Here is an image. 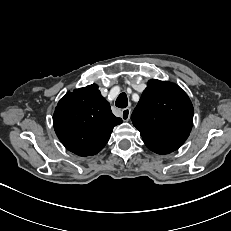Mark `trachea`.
<instances>
[{"label": "trachea", "mask_w": 231, "mask_h": 231, "mask_svg": "<svg viewBox=\"0 0 231 231\" xmlns=\"http://www.w3.org/2000/svg\"><path fill=\"white\" fill-rule=\"evenodd\" d=\"M115 105L119 108H126L128 105L127 95L125 93H121L116 99Z\"/></svg>", "instance_id": "1"}]
</instances>
